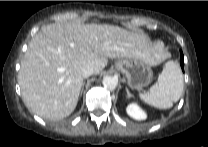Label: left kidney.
I'll return each mask as SVG.
<instances>
[{"instance_id": "obj_1", "label": "left kidney", "mask_w": 208, "mask_h": 147, "mask_svg": "<svg viewBox=\"0 0 208 147\" xmlns=\"http://www.w3.org/2000/svg\"><path fill=\"white\" fill-rule=\"evenodd\" d=\"M126 112L135 120L146 119V113L135 103L129 104L126 108Z\"/></svg>"}]
</instances>
